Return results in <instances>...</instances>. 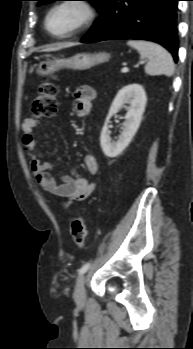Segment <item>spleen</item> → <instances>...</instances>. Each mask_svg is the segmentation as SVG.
Segmentation results:
<instances>
[{"label": "spleen", "mask_w": 193, "mask_h": 349, "mask_svg": "<svg viewBox=\"0 0 193 349\" xmlns=\"http://www.w3.org/2000/svg\"><path fill=\"white\" fill-rule=\"evenodd\" d=\"M127 44L148 59L145 72L148 75H165L171 77L174 74L175 65L171 54L162 46L144 40H129Z\"/></svg>", "instance_id": "spleen-1"}]
</instances>
